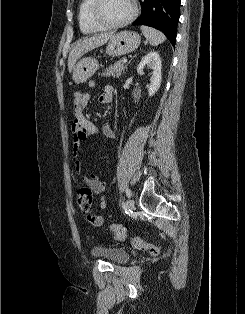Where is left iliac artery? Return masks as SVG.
Instances as JSON below:
<instances>
[{"label": "left iliac artery", "mask_w": 245, "mask_h": 314, "mask_svg": "<svg viewBox=\"0 0 245 314\" xmlns=\"http://www.w3.org/2000/svg\"><path fill=\"white\" fill-rule=\"evenodd\" d=\"M125 191H126V195H127L128 197H130V196H131V191H130V189H129V188H126ZM122 205L125 206L124 201H122Z\"/></svg>", "instance_id": "1"}]
</instances>
